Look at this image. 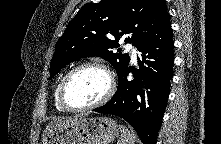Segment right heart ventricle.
<instances>
[{
    "label": "right heart ventricle",
    "instance_id": "1",
    "mask_svg": "<svg viewBox=\"0 0 221 144\" xmlns=\"http://www.w3.org/2000/svg\"><path fill=\"white\" fill-rule=\"evenodd\" d=\"M63 79V78H62ZM61 79V80H62ZM61 80L58 82L56 88H55V91H54V102H55V106L57 108V110L59 111H65L59 104V101H58V90H59V85H60V82Z\"/></svg>",
    "mask_w": 221,
    "mask_h": 144
}]
</instances>
